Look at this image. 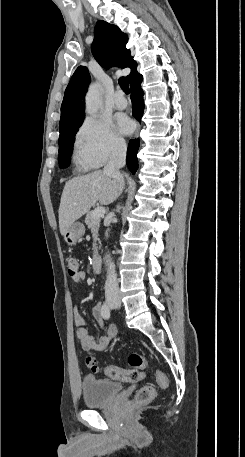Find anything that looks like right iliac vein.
Masks as SVG:
<instances>
[{
	"label": "right iliac vein",
	"instance_id": "right-iliac-vein-1",
	"mask_svg": "<svg viewBox=\"0 0 245 457\" xmlns=\"http://www.w3.org/2000/svg\"><path fill=\"white\" fill-rule=\"evenodd\" d=\"M107 302L110 306H119L120 305V299L118 296L116 297H107Z\"/></svg>",
	"mask_w": 245,
	"mask_h": 457
}]
</instances>
